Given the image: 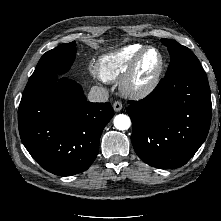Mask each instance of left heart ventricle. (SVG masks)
I'll return each mask as SVG.
<instances>
[{"mask_svg":"<svg viewBox=\"0 0 221 221\" xmlns=\"http://www.w3.org/2000/svg\"><path fill=\"white\" fill-rule=\"evenodd\" d=\"M158 62H159V57L156 51L150 50L149 52H147L139 66L138 77H137L138 81L139 82L146 81L156 70Z\"/></svg>","mask_w":221,"mask_h":221,"instance_id":"obj_1","label":"left heart ventricle"}]
</instances>
